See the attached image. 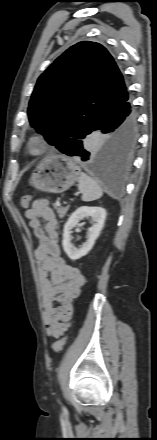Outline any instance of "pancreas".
<instances>
[{"label":"pancreas","instance_id":"cf45deb5","mask_svg":"<svg viewBox=\"0 0 157 440\" xmlns=\"http://www.w3.org/2000/svg\"><path fill=\"white\" fill-rule=\"evenodd\" d=\"M54 208L56 209L58 215L60 218H64V216L66 215L69 207H60L59 205L55 204Z\"/></svg>","mask_w":157,"mask_h":440}]
</instances>
